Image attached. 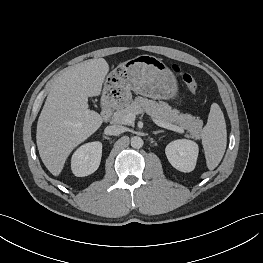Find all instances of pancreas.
Listing matches in <instances>:
<instances>
[{"label": "pancreas", "mask_w": 263, "mask_h": 263, "mask_svg": "<svg viewBox=\"0 0 263 263\" xmlns=\"http://www.w3.org/2000/svg\"><path fill=\"white\" fill-rule=\"evenodd\" d=\"M146 112L152 119L160 120L167 123H176L183 129L187 130L189 137L199 139L201 136L203 121L190 114L179 113L178 110L172 109L165 102H156L143 97H136L131 104L125 108L117 110L114 113V122L117 124L132 125L125 121V116L130 113L135 115Z\"/></svg>", "instance_id": "obj_1"}]
</instances>
